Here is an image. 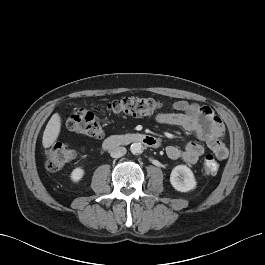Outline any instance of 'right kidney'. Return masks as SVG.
I'll list each match as a JSON object with an SVG mask.
<instances>
[{
  "instance_id": "obj_1",
  "label": "right kidney",
  "mask_w": 265,
  "mask_h": 265,
  "mask_svg": "<svg viewBox=\"0 0 265 265\" xmlns=\"http://www.w3.org/2000/svg\"><path fill=\"white\" fill-rule=\"evenodd\" d=\"M83 176H84V170L82 168H80V167L75 168L71 172V175H70L71 180L73 182H79L82 179Z\"/></svg>"
}]
</instances>
